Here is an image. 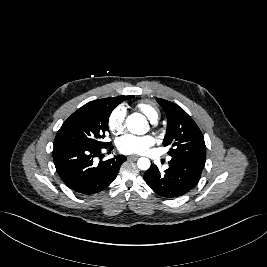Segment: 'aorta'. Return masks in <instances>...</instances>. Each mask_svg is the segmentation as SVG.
I'll use <instances>...</instances> for the list:
<instances>
[{
	"mask_svg": "<svg viewBox=\"0 0 267 267\" xmlns=\"http://www.w3.org/2000/svg\"><path fill=\"white\" fill-rule=\"evenodd\" d=\"M127 129L137 135L145 134L148 131V124L145 120V117L139 113H133L129 115L126 119ZM151 165V162L146 157H141L137 161V166L140 170H148Z\"/></svg>",
	"mask_w": 267,
	"mask_h": 267,
	"instance_id": "1",
	"label": "aorta"
}]
</instances>
